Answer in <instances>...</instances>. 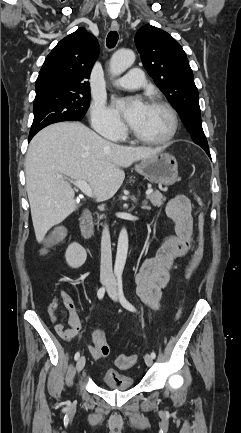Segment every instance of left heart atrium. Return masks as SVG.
<instances>
[{"label": "left heart atrium", "instance_id": "left-heart-atrium-1", "mask_svg": "<svg viewBox=\"0 0 241 433\" xmlns=\"http://www.w3.org/2000/svg\"><path fill=\"white\" fill-rule=\"evenodd\" d=\"M113 106L133 128L139 122L147 105L140 98H133L115 99Z\"/></svg>", "mask_w": 241, "mask_h": 433}]
</instances>
